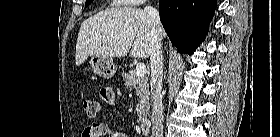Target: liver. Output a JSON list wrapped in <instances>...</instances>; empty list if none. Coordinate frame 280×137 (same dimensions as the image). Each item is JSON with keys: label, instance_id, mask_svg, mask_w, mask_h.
I'll return each instance as SVG.
<instances>
[{"label": "liver", "instance_id": "1", "mask_svg": "<svg viewBox=\"0 0 280 137\" xmlns=\"http://www.w3.org/2000/svg\"><path fill=\"white\" fill-rule=\"evenodd\" d=\"M166 37L162 30L161 38ZM152 22L138 8L117 7L86 19L80 27L75 60L80 66L90 56L147 58L151 52Z\"/></svg>", "mask_w": 280, "mask_h": 137}]
</instances>
